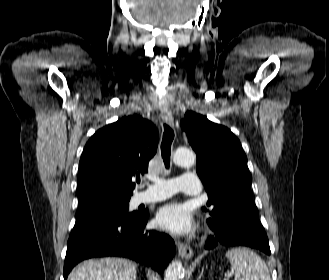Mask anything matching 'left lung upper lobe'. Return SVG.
<instances>
[{
  "mask_svg": "<svg viewBox=\"0 0 329 280\" xmlns=\"http://www.w3.org/2000/svg\"><path fill=\"white\" fill-rule=\"evenodd\" d=\"M181 126L197 154L196 171L208 193L207 204L214 206L207 222L218 235L229 211L239 201L251 197L252 177L247 157L240 141L227 127L203 115L187 112Z\"/></svg>",
  "mask_w": 329,
  "mask_h": 280,
  "instance_id": "1",
  "label": "left lung upper lobe"
}]
</instances>
